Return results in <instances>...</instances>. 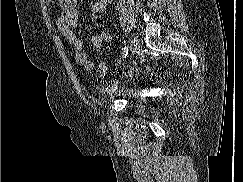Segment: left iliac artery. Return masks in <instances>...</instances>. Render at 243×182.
Masks as SVG:
<instances>
[{"label": "left iliac artery", "mask_w": 243, "mask_h": 182, "mask_svg": "<svg viewBox=\"0 0 243 182\" xmlns=\"http://www.w3.org/2000/svg\"><path fill=\"white\" fill-rule=\"evenodd\" d=\"M127 54H128V46L125 43L124 48H123V58H126Z\"/></svg>", "instance_id": "left-iliac-artery-1"}]
</instances>
